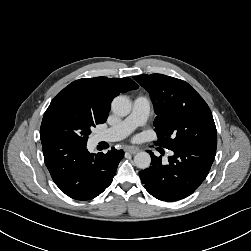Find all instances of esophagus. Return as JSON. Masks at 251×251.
Listing matches in <instances>:
<instances>
[{
  "instance_id": "1",
  "label": "esophagus",
  "mask_w": 251,
  "mask_h": 251,
  "mask_svg": "<svg viewBox=\"0 0 251 251\" xmlns=\"http://www.w3.org/2000/svg\"><path fill=\"white\" fill-rule=\"evenodd\" d=\"M126 151L130 154H136L139 151V149L136 147H127Z\"/></svg>"
}]
</instances>
